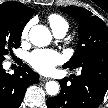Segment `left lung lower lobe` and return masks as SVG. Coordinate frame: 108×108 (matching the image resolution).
Instances as JSON below:
<instances>
[{
  "mask_svg": "<svg viewBox=\"0 0 108 108\" xmlns=\"http://www.w3.org/2000/svg\"><path fill=\"white\" fill-rule=\"evenodd\" d=\"M81 68V75L71 79V84H67V78L60 81L61 91L47 99L48 108L99 107L108 91V61L102 65H83Z\"/></svg>",
  "mask_w": 108,
  "mask_h": 108,
  "instance_id": "1",
  "label": "left lung lower lobe"
}]
</instances>
